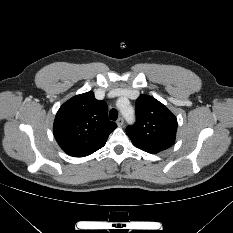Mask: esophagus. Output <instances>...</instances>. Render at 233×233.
<instances>
[{"label": "esophagus", "instance_id": "obj_1", "mask_svg": "<svg viewBox=\"0 0 233 233\" xmlns=\"http://www.w3.org/2000/svg\"><path fill=\"white\" fill-rule=\"evenodd\" d=\"M116 123H117L118 127H121L124 124V119L122 117H119Z\"/></svg>", "mask_w": 233, "mask_h": 233}]
</instances>
